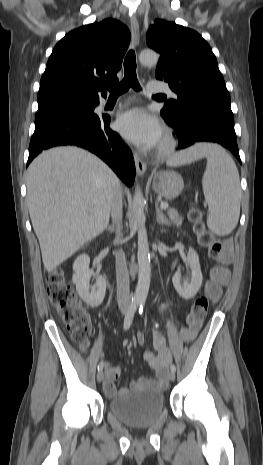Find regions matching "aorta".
<instances>
[{"label": "aorta", "instance_id": "obj_1", "mask_svg": "<svg viewBox=\"0 0 263 465\" xmlns=\"http://www.w3.org/2000/svg\"><path fill=\"white\" fill-rule=\"evenodd\" d=\"M139 60L145 66H155L159 60V55L154 51L145 50L140 53ZM133 202L136 208V224L138 226V283L133 299L134 302L145 303L150 287L151 265L143 213L144 197L139 186L136 187Z\"/></svg>", "mask_w": 263, "mask_h": 465}]
</instances>
